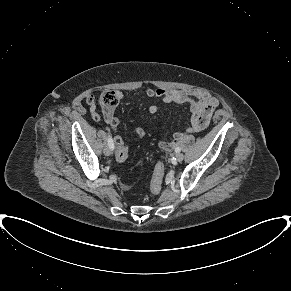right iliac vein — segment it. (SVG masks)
<instances>
[{
  "label": "right iliac vein",
  "mask_w": 291,
  "mask_h": 291,
  "mask_svg": "<svg viewBox=\"0 0 291 291\" xmlns=\"http://www.w3.org/2000/svg\"><path fill=\"white\" fill-rule=\"evenodd\" d=\"M103 152L106 156H109L112 154V149L109 146H106Z\"/></svg>",
  "instance_id": "right-iliac-vein-1"
}]
</instances>
